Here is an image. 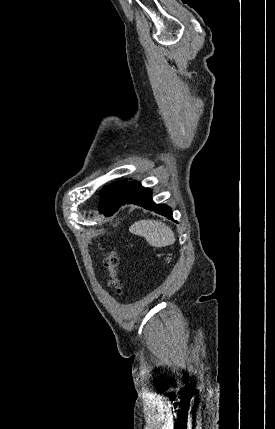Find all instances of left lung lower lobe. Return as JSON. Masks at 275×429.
<instances>
[{
  "label": "left lung lower lobe",
  "mask_w": 275,
  "mask_h": 429,
  "mask_svg": "<svg viewBox=\"0 0 275 429\" xmlns=\"http://www.w3.org/2000/svg\"><path fill=\"white\" fill-rule=\"evenodd\" d=\"M151 194L152 191L150 189L144 188L140 183L135 182L127 192V195L121 205L135 204L142 206L145 209H149L173 220L170 207L163 204H155L152 200Z\"/></svg>",
  "instance_id": "obj_1"
}]
</instances>
